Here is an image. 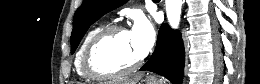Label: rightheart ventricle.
I'll return each mask as SVG.
<instances>
[{"label":"right heart ventricle","instance_id":"1","mask_svg":"<svg viewBox=\"0 0 260 84\" xmlns=\"http://www.w3.org/2000/svg\"><path fill=\"white\" fill-rule=\"evenodd\" d=\"M104 27L103 24H100L98 26H95L94 28H92L84 37L82 43L80 44V47L76 53V56H75V69H76V72L77 74L83 78V79H90L88 78L84 71H83V57H84V53H85V50H86V47L87 45L89 44L90 40L93 38V36L100 30Z\"/></svg>","mask_w":260,"mask_h":84}]
</instances>
